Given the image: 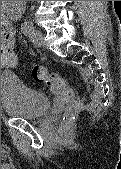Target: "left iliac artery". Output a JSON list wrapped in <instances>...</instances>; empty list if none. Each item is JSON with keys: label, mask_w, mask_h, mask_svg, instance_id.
Segmentation results:
<instances>
[{"label": "left iliac artery", "mask_w": 121, "mask_h": 169, "mask_svg": "<svg viewBox=\"0 0 121 169\" xmlns=\"http://www.w3.org/2000/svg\"><path fill=\"white\" fill-rule=\"evenodd\" d=\"M33 28H34V27H33V24H32V22H30V21H25V22L22 24V27H21L22 32H23L24 34H29L30 31H31Z\"/></svg>", "instance_id": "left-iliac-artery-1"}]
</instances>
